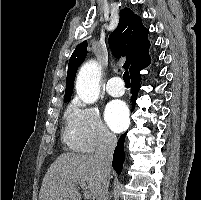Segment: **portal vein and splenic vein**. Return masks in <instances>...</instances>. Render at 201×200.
<instances>
[{"mask_svg":"<svg viewBox=\"0 0 201 200\" xmlns=\"http://www.w3.org/2000/svg\"><path fill=\"white\" fill-rule=\"evenodd\" d=\"M79 187L82 188L83 190H85L84 198L86 200H89L91 198V193L89 191H87V187H86L85 183H79Z\"/></svg>","mask_w":201,"mask_h":200,"instance_id":"1","label":"portal vein and splenic vein"}]
</instances>
